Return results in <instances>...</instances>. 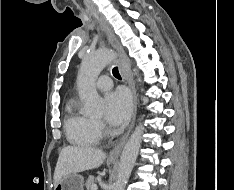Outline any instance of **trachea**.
I'll list each match as a JSON object with an SVG mask.
<instances>
[{
	"mask_svg": "<svg viewBox=\"0 0 234 190\" xmlns=\"http://www.w3.org/2000/svg\"><path fill=\"white\" fill-rule=\"evenodd\" d=\"M112 73H113L114 77H116L117 79H121V76L119 74L117 67L113 68Z\"/></svg>",
	"mask_w": 234,
	"mask_h": 190,
	"instance_id": "trachea-1",
	"label": "trachea"
}]
</instances>
